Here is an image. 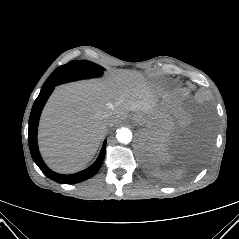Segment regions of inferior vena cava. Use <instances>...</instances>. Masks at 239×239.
<instances>
[{
    "label": "inferior vena cava",
    "instance_id": "1",
    "mask_svg": "<svg viewBox=\"0 0 239 239\" xmlns=\"http://www.w3.org/2000/svg\"><path fill=\"white\" fill-rule=\"evenodd\" d=\"M103 119L107 124H109L112 121H114L115 116L113 114H105V115H103Z\"/></svg>",
    "mask_w": 239,
    "mask_h": 239
}]
</instances>
